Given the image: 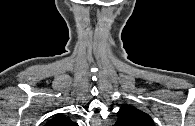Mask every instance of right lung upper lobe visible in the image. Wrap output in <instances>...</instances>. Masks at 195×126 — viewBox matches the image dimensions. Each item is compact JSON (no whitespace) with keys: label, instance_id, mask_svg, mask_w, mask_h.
I'll return each instance as SVG.
<instances>
[{"label":"right lung upper lobe","instance_id":"1","mask_svg":"<svg viewBox=\"0 0 195 126\" xmlns=\"http://www.w3.org/2000/svg\"><path fill=\"white\" fill-rule=\"evenodd\" d=\"M46 126H77L76 123L72 122L70 118L64 114H58L50 119Z\"/></svg>","mask_w":195,"mask_h":126}]
</instances>
